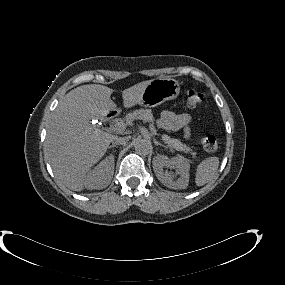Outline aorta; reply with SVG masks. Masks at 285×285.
Returning a JSON list of instances; mask_svg holds the SVG:
<instances>
[{
	"instance_id": "aorta-1",
	"label": "aorta",
	"mask_w": 285,
	"mask_h": 285,
	"mask_svg": "<svg viewBox=\"0 0 285 285\" xmlns=\"http://www.w3.org/2000/svg\"><path fill=\"white\" fill-rule=\"evenodd\" d=\"M135 151L140 155H148L152 150L151 142L147 139L138 138L134 143Z\"/></svg>"
}]
</instances>
